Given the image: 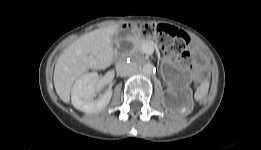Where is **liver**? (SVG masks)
<instances>
[{"mask_svg": "<svg viewBox=\"0 0 261 150\" xmlns=\"http://www.w3.org/2000/svg\"><path fill=\"white\" fill-rule=\"evenodd\" d=\"M118 25L93 30L79 37L60 55L54 69V86L60 99L70 102L73 83L89 69L101 70L113 62L112 38Z\"/></svg>", "mask_w": 261, "mask_h": 150, "instance_id": "6515ba94", "label": "liver"}]
</instances>
